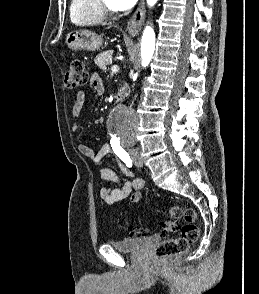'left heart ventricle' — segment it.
<instances>
[{"label":"left heart ventricle","instance_id":"left-heart-ventricle-1","mask_svg":"<svg viewBox=\"0 0 259 294\" xmlns=\"http://www.w3.org/2000/svg\"><path fill=\"white\" fill-rule=\"evenodd\" d=\"M105 3H106L108 6H110V7H112V8L115 9V6H114V2H113V0H105Z\"/></svg>","mask_w":259,"mask_h":294}]
</instances>
